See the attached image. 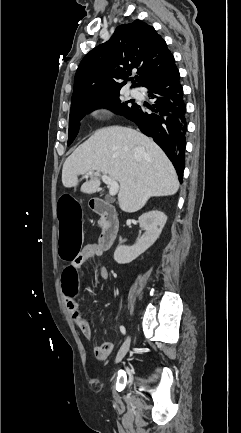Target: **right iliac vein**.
<instances>
[{
  "instance_id": "1",
  "label": "right iliac vein",
  "mask_w": 241,
  "mask_h": 433,
  "mask_svg": "<svg viewBox=\"0 0 241 433\" xmlns=\"http://www.w3.org/2000/svg\"><path fill=\"white\" fill-rule=\"evenodd\" d=\"M130 343H131V337L128 336L126 338V340L124 341L123 345L121 346L120 350L117 353L115 362L119 363L126 355V353L128 352L129 348H130Z\"/></svg>"
}]
</instances>
